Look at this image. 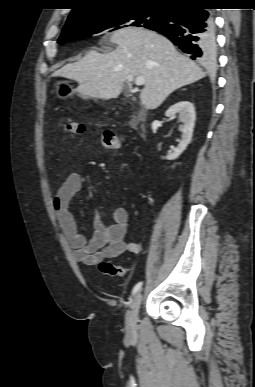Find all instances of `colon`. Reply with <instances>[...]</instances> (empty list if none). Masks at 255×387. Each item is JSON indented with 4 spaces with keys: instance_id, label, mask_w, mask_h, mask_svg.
Wrapping results in <instances>:
<instances>
[{
    "instance_id": "5ec220e1",
    "label": "colon",
    "mask_w": 255,
    "mask_h": 387,
    "mask_svg": "<svg viewBox=\"0 0 255 387\" xmlns=\"http://www.w3.org/2000/svg\"><path fill=\"white\" fill-rule=\"evenodd\" d=\"M65 130L71 134L84 136L86 134L85 126L77 123H69L65 126ZM125 142L122 135L114 132L106 131L99 136V143L106 149H118ZM99 270L101 273L108 276L122 277L126 274V269L116 265L110 261L103 260L99 262Z\"/></svg>"
}]
</instances>
